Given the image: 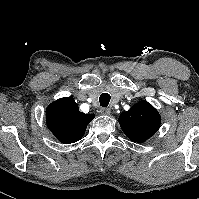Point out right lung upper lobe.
I'll return each mask as SVG.
<instances>
[{
    "label": "right lung upper lobe",
    "mask_w": 199,
    "mask_h": 199,
    "mask_svg": "<svg viewBox=\"0 0 199 199\" xmlns=\"http://www.w3.org/2000/svg\"><path fill=\"white\" fill-rule=\"evenodd\" d=\"M94 117V114L80 112L73 97L58 99L46 110L49 129L64 144L79 141Z\"/></svg>",
    "instance_id": "1"
}]
</instances>
